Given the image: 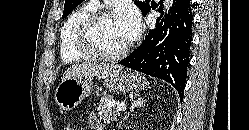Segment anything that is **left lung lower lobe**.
<instances>
[{"instance_id":"1","label":"left lung lower lobe","mask_w":249,"mask_h":130,"mask_svg":"<svg viewBox=\"0 0 249 130\" xmlns=\"http://www.w3.org/2000/svg\"><path fill=\"white\" fill-rule=\"evenodd\" d=\"M192 21L190 0H173L165 19H158L155 30H148L143 43L119 63L169 82L183 99Z\"/></svg>"}]
</instances>
